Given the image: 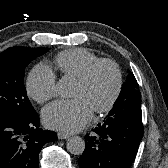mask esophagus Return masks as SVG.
<instances>
[{
    "mask_svg": "<svg viewBox=\"0 0 168 168\" xmlns=\"http://www.w3.org/2000/svg\"><path fill=\"white\" fill-rule=\"evenodd\" d=\"M57 135H58V138L61 139V140L68 139L70 137L69 134L64 133V132H58Z\"/></svg>",
    "mask_w": 168,
    "mask_h": 168,
    "instance_id": "34e87169",
    "label": "esophagus"
}]
</instances>
